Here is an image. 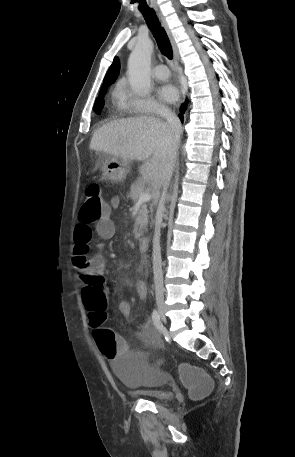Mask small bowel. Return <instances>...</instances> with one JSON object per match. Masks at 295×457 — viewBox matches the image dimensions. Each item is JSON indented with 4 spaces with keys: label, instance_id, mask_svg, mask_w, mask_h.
Here are the masks:
<instances>
[{
    "label": "small bowel",
    "instance_id": "small-bowel-1",
    "mask_svg": "<svg viewBox=\"0 0 295 457\" xmlns=\"http://www.w3.org/2000/svg\"><path fill=\"white\" fill-rule=\"evenodd\" d=\"M120 205V198L115 196L113 197L109 204V214L99 220L95 225V232L99 238L102 240H110L114 237L116 233V228L113 220L110 218V212L113 209H117ZM93 236V230L90 226L78 224L75 229V249L79 246H85L90 248V243ZM98 248H102L103 244H97ZM105 256L103 253L99 252L90 257H88L87 267L83 270H79L77 279L82 283L83 289L87 286V274H99L102 275L105 267ZM136 292L140 299L146 300L148 295L147 285L143 281H139L136 284ZM119 311L125 316L129 317L131 315V304L128 301H121L119 303ZM142 331L145 337L153 339V341L158 339L157 333L152 326L151 322L148 320L142 326ZM125 341V340H124ZM100 349V348H99ZM128 357V350H127ZM115 363V362H114Z\"/></svg>",
    "mask_w": 295,
    "mask_h": 457
}]
</instances>
